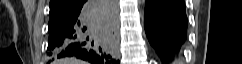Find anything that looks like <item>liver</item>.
<instances>
[{
  "label": "liver",
  "mask_w": 242,
  "mask_h": 64,
  "mask_svg": "<svg viewBox=\"0 0 242 64\" xmlns=\"http://www.w3.org/2000/svg\"><path fill=\"white\" fill-rule=\"evenodd\" d=\"M61 64H85L84 61L76 60V59H62L59 61Z\"/></svg>",
  "instance_id": "obj_1"
}]
</instances>
